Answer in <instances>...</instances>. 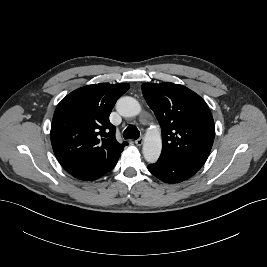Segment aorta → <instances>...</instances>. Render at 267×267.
<instances>
[{
  "label": "aorta",
  "instance_id": "aorta-1",
  "mask_svg": "<svg viewBox=\"0 0 267 267\" xmlns=\"http://www.w3.org/2000/svg\"><path fill=\"white\" fill-rule=\"evenodd\" d=\"M117 112L123 117H134L141 112L139 102L129 96L121 97L116 103ZM162 149L160 129L157 127L149 129L143 143V155L148 163H155Z\"/></svg>",
  "mask_w": 267,
  "mask_h": 267
}]
</instances>
